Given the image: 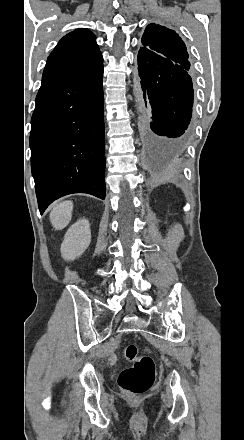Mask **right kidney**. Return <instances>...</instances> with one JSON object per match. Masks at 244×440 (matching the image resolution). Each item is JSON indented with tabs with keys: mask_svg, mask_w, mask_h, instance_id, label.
Listing matches in <instances>:
<instances>
[{
	"mask_svg": "<svg viewBox=\"0 0 244 440\" xmlns=\"http://www.w3.org/2000/svg\"><path fill=\"white\" fill-rule=\"evenodd\" d=\"M91 242V230L88 220L81 218L75 222L64 236L61 244L63 260H75L82 256Z\"/></svg>",
	"mask_w": 244,
	"mask_h": 440,
	"instance_id": "1",
	"label": "right kidney"
}]
</instances>
